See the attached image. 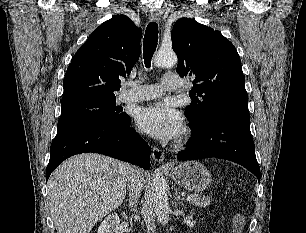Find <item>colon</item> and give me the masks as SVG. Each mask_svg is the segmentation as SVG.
<instances>
[{"label":"colon","instance_id":"obj_1","mask_svg":"<svg viewBox=\"0 0 306 233\" xmlns=\"http://www.w3.org/2000/svg\"><path fill=\"white\" fill-rule=\"evenodd\" d=\"M245 225V217L243 214L238 213L233 220V233H242Z\"/></svg>","mask_w":306,"mask_h":233}]
</instances>
